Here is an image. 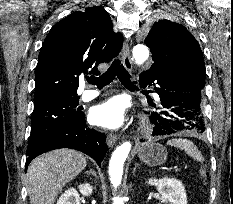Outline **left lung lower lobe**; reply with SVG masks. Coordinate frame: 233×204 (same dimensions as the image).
<instances>
[{
  "label": "left lung lower lobe",
  "instance_id": "left-lung-lower-lobe-1",
  "mask_svg": "<svg viewBox=\"0 0 233 204\" xmlns=\"http://www.w3.org/2000/svg\"><path fill=\"white\" fill-rule=\"evenodd\" d=\"M141 87L154 85L160 105L149 103L155 111L149 112L153 136L191 131L203 134L205 124L201 110L204 85L178 58L156 61L150 72L141 74Z\"/></svg>",
  "mask_w": 233,
  "mask_h": 204
}]
</instances>
